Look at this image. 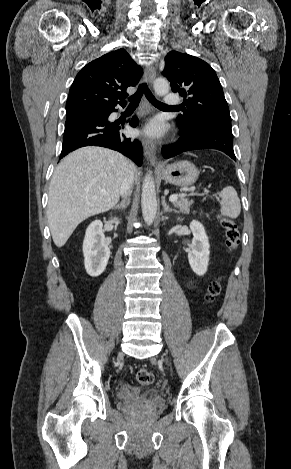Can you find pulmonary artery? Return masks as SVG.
<instances>
[{"label": "pulmonary artery", "instance_id": "e3ab8cb5", "mask_svg": "<svg viewBox=\"0 0 291 469\" xmlns=\"http://www.w3.org/2000/svg\"><path fill=\"white\" fill-rule=\"evenodd\" d=\"M164 103L167 106L174 107V106H177L180 103V101L176 94L169 93L165 96Z\"/></svg>", "mask_w": 291, "mask_h": 469}]
</instances>
